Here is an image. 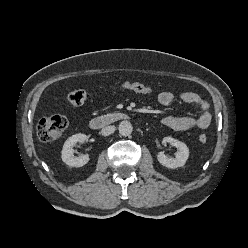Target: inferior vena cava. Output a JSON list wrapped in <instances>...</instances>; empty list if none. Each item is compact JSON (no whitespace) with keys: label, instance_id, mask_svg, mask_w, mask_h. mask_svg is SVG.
<instances>
[{"label":"inferior vena cava","instance_id":"inferior-vena-cava-1","mask_svg":"<svg viewBox=\"0 0 248 248\" xmlns=\"http://www.w3.org/2000/svg\"><path fill=\"white\" fill-rule=\"evenodd\" d=\"M115 129H116V128H115L114 125L104 127V128L101 130V135H103V136H109V135H111V134L114 133Z\"/></svg>","mask_w":248,"mask_h":248}]
</instances>
